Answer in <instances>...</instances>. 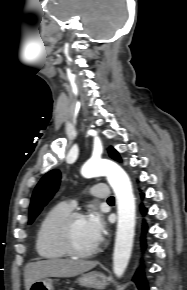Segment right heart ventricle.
I'll return each mask as SVG.
<instances>
[{
	"label": "right heart ventricle",
	"mask_w": 187,
	"mask_h": 290,
	"mask_svg": "<svg viewBox=\"0 0 187 290\" xmlns=\"http://www.w3.org/2000/svg\"><path fill=\"white\" fill-rule=\"evenodd\" d=\"M71 210L67 203L61 202L52 206L41 219L36 232L35 249L42 259L57 260L67 256L57 242L55 229Z\"/></svg>",
	"instance_id": "obj_1"
}]
</instances>
